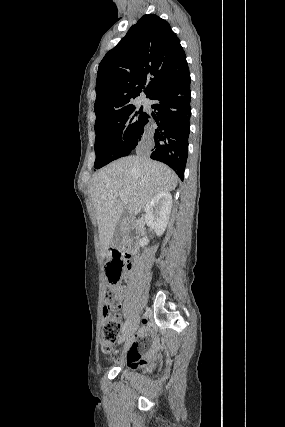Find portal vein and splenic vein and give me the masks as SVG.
<instances>
[{"instance_id": "1", "label": "portal vein and splenic vein", "mask_w": 285, "mask_h": 427, "mask_svg": "<svg viewBox=\"0 0 285 427\" xmlns=\"http://www.w3.org/2000/svg\"><path fill=\"white\" fill-rule=\"evenodd\" d=\"M119 197L121 198L122 201L126 202V196L123 193H120Z\"/></svg>"}]
</instances>
